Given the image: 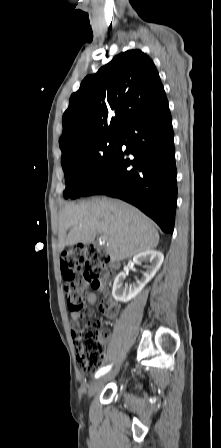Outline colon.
Listing matches in <instances>:
<instances>
[{
	"mask_svg": "<svg viewBox=\"0 0 221 448\" xmlns=\"http://www.w3.org/2000/svg\"><path fill=\"white\" fill-rule=\"evenodd\" d=\"M60 267L67 282V306L72 311H81L89 289L106 284L110 258L107 252L92 244H78L61 255ZM86 316L89 317V314ZM101 331L102 323L91 319L73 331L78 362L87 374L98 372L104 362V337Z\"/></svg>",
	"mask_w": 221,
	"mask_h": 448,
	"instance_id": "colon-1",
	"label": "colon"
}]
</instances>
